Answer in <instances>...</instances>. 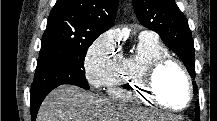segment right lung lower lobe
<instances>
[{
    "mask_svg": "<svg viewBox=\"0 0 217 121\" xmlns=\"http://www.w3.org/2000/svg\"><path fill=\"white\" fill-rule=\"evenodd\" d=\"M61 84H55L52 86H49L47 88H45L43 91L35 93V94H31L30 95V105H31V116H32V121L35 120L36 115L38 113L39 110V106L42 103V101L44 100V98L46 97V95L53 90L54 88L58 87Z\"/></svg>",
    "mask_w": 217,
    "mask_h": 121,
    "instance_id": "1",
    "label": "right lung lower lobe"
}]
</instances>
